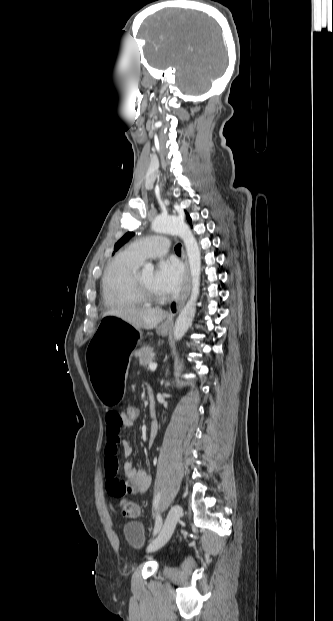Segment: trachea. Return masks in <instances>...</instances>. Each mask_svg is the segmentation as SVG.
Wrapping results in <instances>:
<instances>
[{"instance_id": "obj_1", "label": "trachea", "mask_w": 333, "mask_h": 621, "mask_svg": "<svg viewBox=\"0 0 333 621\" xmlns=\"http://www.w3.org/2000/svg\"><path fill=\"white\" fill-rule=\"evenodd\" d=\"M175 252H176V253H180V252H181V244H177V245L175 246Z\"/></svg>"}]
</instances>
